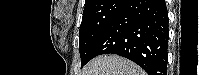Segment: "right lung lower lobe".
Segmentation results:
<instances>
[{
  "label": "right lung lower lobe",
  "instance_id": "right-lung-lower-lobe-1",
  "mask_svg": "<svg viewBox=\"0 0 199 75\" xmlns=\"http://www.w3.org/2000/svg\"><path fill=\"white\" fill-rule=\"evenodd\" d=\"M168 11L165 0H127L97 41L92 58L126 57L149 75H167Z\"/></svg>",
  "mask_w": 199,
  "mask_h": 75
}]
</instances>
